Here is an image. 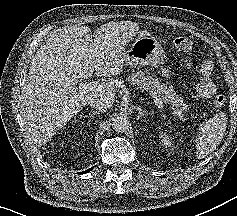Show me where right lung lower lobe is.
I'll return each instance as SVG.
<instances>
[{"instance_id":"98d812e1","label":"right lung lower lobe","mask_w":237,"mask_h":216,"mask_svg":"<svg viewBox=\"0 0 237 216\" xmlns=\"http://www.w3.org/2000/svg\"><path fill=\"white\" fill-rule=\"evenodd\" d=\"M93 168H94V167L88 169L87 171H83V172H81V174H82V173H83V174L88 173V172H90Z\"/></svg>"}]
</instances>
